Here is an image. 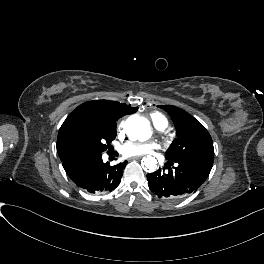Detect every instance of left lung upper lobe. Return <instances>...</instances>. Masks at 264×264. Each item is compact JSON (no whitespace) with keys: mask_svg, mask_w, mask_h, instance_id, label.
<instances>
[{"mask_svg":"<svg viewBox=\"0 0 264 264\" xmlns=\"http://www.w3.org/2000/svg\"><path fill=\"white\" fill-rule=\"evenodd\" d=\"M174 120L176 138L165 153L167 162L155 173L185 192L197 190L209 176L214 160L210 134L193 116L175 106H159Z\"/></svg>","mask_w":264,"mask_h":264,"instance_id":"left-lung-upper-lobe-1","label":"left lung upper lobe"}]
</instances>
